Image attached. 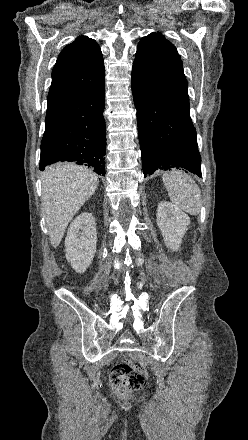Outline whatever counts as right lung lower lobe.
<instances>
[{
    "label": "right lung lower lobe",
    "mask_w": 248,
    "mask_h": 440,
    "mask_svg": "<svg viewBox=\"0 0 248 440\" xmlns=\"http://www.w3.org/2000/svg\"><path fill=\"white\" fill-rule=\"evenodd\" d=\"M105 82L96 88L48 102L39 169L74 161L105 175Z\"/></svg>",
    "instance_id": "1"
}]
</instances>
